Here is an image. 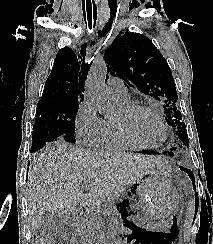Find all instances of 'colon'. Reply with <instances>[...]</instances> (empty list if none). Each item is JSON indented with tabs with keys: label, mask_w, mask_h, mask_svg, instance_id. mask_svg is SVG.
Returning a JSON list of instances; mask_svg holds the SVG:
<instances>
[{
	"label": "colon",
	"mask_w": 213,
	"mask_h": 244,
	"mask_svg": "<svg viewBox=\"0 0 213 244\" xmlns=\"http://www.w3.org/2000/svg\"><path fill=\"white\" fill-rule=\"evenodd\" d=\"M39 244H52V238L50 235L43 236L39 239Z\"/></svg>",
	"instance_id": "5ec220e1"
}]
</instances>
